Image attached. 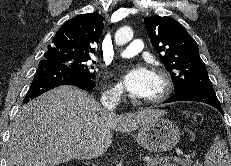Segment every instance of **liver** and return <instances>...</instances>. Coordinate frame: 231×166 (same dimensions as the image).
Wrapping results in <instances>:
<instances>
[{"mask_svg":"<svg viewBox=\"0 0 231 166\" xmlns=\"http://www.w3.org/2000/svg\"><path fill=\"white\" fill-rule=\"evenodd\" d=\"M165 114L147 108L118 115L77 87L60 86L17 114L10 126L7 166H55L71 159H93L110 147L113 130L130 133Z\"/></svg>","mask_w":231,"mask_h":166,"instance_id":"6515ba94","label":"liver"}]
</instances>
